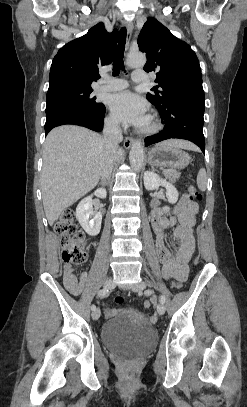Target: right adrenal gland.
Masks as SVG:
<instances>
[{"label": "right adrenal gland", "instance_id": "obj_1", "mask_svg": "<svg viewBox=\"0 0 247 407\" xmlns=\"http://www.w3.org/2000/svg\"><path fill=\"white\" fill-rule=\"evenodd\" d=\"M100 185L108 186V185H109V180H107V181H101V182H100Z\"/></svg>", "mask_w": 247, "mask_h": 407}]
</instances>
